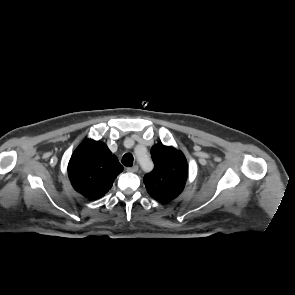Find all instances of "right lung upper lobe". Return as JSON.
Listing matches in <instances>:
<instances>
[{"instance_id": "1", "label": "right lung upper lobe", "mask_w": 295, "mask_h": 295, "mask_svg": "<svg viewBox=\"0 0 295 295\" xmlns=\"http://www.w3.org/2000/svg\"><path fill=\"white\" fill-rule=\"evenodd\" d=\"M122 171L123 166L107 145L92 139L75 149L68 164L73 188L91 200L103 197Z\"/></svg>"}]
</instances>
